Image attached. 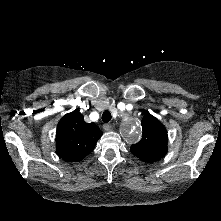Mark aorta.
<instances>
[{"label": "aorta", "mask_w": 221, "mask_h": 221, "mask_svg": "<svg viewBox=\"0 0 221 221\" xmlns=\"http://www.w3.org/2000/svg\"><path fill=\"white\" fill-rule=\"evenodd\" d=\"M121 134L127 142H137L141 137V127L136 122H128L123 126Z\"/></svg>", "instance_id": "762f6f07"}]
</instances>
